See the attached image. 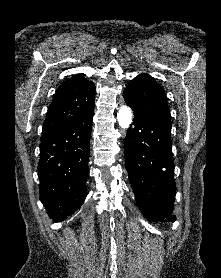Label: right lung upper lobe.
Returning a JSON list of instances; mask_svg holds the SVG:
<instances>
[{
  "label": "right lung upper lobe",
  "mask_w": 221,
  "mask_h": 278,
  "mask_svg": "<svg viewBox=\"0 0 221 278\" xmlns=\"http://www.w3.org/2000/svg\"><path fill=\"white\" fill-rule=\"evenodd\" d=\"M95 85L82 75L61 84L44 121L42 140L85 116L94 107Z\"/></svg>",
  "instance_id": "1"
}]
</instances>
